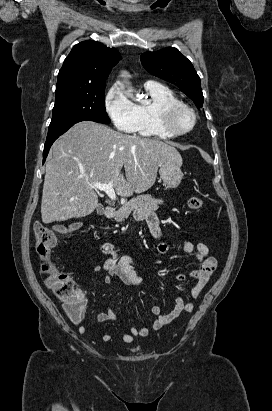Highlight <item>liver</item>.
Here are the masks:
<instances>
[{"instance_id":"6515ba94","label":"liver","mask_w":272,"mask_h":411,"mask_svg":"<svg viewBox=\"0 0 272 411\" xmlns=\"http://www.w3.org/2000/svg\"><path fill=\"white\" fill-rule=\"evenodd\" d=\"M166 160L182 165L177 149L162 141L123 134L91 121L73 125L54 142L46 163L43 223L91 214L98 206L92 183L113 181L122 197L147 191L156 181L159 164Z\"/></svg>"}]
</instances>
